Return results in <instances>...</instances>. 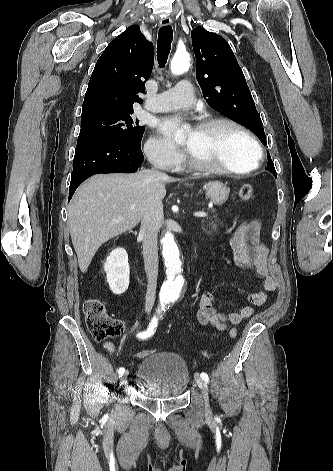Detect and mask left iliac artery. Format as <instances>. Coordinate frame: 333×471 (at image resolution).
<instances>
[{
	"instance_id": "obj_1",
	"label": "left iliac artery",
	"mask_w": 333,
	"mask_h": 471,
	"mask_svg": "<svg viewBox=\"0 0 333 471\" xmlns=\"http://www.w3.org/2000/svg\"><path fill=\"white\" fill-rule=\"evenodd\" d=\"M200 377L205 381V382H209V377L206 373L202 372L200 374Z\"/></svg>"
}]
</instances>
